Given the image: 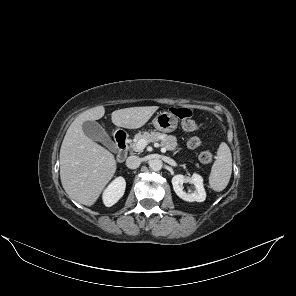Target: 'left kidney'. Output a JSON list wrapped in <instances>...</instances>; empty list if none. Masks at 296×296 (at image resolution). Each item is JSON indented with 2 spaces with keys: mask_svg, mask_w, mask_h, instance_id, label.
<instances>
[{
  "mask_svg": "<svg viewBox=\"0 0 296 296\" xmlns=\"http://www.w3.org/2000/svg\"><path fill=\"white\" fill-rule=\"evenodd\" d=\"M189 182L194 185L195 191L186 193L183 190V184ZM172 185L175 193L184 201L203 202L206 199V192L203 186V178L199 174L194 173L191 177H185L181 174L172 178Z\"/></svg>",
  "mask_w": 296,
  "mask_h": 296,
  "instance_id": "left-kidney-1",
  "label": "left kidney"
}]
</instances>
